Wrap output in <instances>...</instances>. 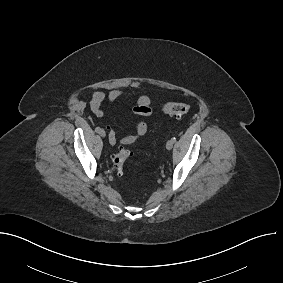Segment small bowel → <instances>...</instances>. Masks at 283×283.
<instances>
[{"instance_id": "small-bowel-1", "label": "small bowel", "mask_w": 283, "mask_h": 283, "mask_svg": "<svg viewBox=\"0 0 283 283\" xmlns=\"http://www.w3.org/2000/svg\"><path fill=\"white\" fill-rule=\"evenodd\" d=\"M123 95L122 90L113 89L107 94L96 91L91 95L90 98V109L92 113L97 117H102L104 112L102 109V104L105 100L111 103L116 102ZM133 113L137 116L148 117L152 115L151 100L148 96L139 97L132 109ZM108 130L109 143L115 145L117 142L116 134L114 130L110 127H106ZM148 132V125L145 122L139 121L135 124V133L125 136L121 139V144L130 145L135 143L139 138L143 137Z\"/></svg>"}]
</instances>
